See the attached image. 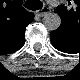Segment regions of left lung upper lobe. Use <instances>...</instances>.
<instances>
[{
    "label": "left lung upper lobe",
    "mask_w": 80,
    "mask_h": 80,
    "mask_svg": "<svg viewBox=\"0 0 80 80\" xmlns=\"http://www.w3.org/2000/svg\"><path fill=\"white\" fill-rule=\"evenodd\" d=\"M65 31H66V30H64V27L61 26V27L58 29V32H57V33H58V36L61 37V36L65 35Z\"/></svg>",
    "instance_id": "obj_1"
}]
</instances>
